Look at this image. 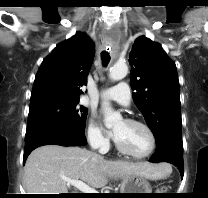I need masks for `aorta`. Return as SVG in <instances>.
Segmentation results:
<instances>
[{"label": "aorta", "instance_id": "1", "mask_svg": "<svg viewBox=\"0 0 208 198\" xmlns=\"http://www.w3.org/2000/svg\"><path fill=\"white\" fill-rule=\"evenodd\" d=\"M128 73V67L125 63H116L110 69L109 78L112 81L123 79ZM102 109L105 115V126L111 128L115 123L122 119L119 112L114 111L108 102H103Z\"/></svg>", "mask_w": 208, "mask_h": 198}]
</instances>
